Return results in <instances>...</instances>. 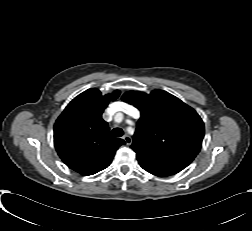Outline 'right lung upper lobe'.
<instances>
[{
    "label": "right lung upper lobe",
    "instance_id": "obj_1",
    "mask_svg": "<svg viewBox=\"0 0 252 231\" xmlns=\"http://www.w3.org/2000/svg\"><path fill=\"white\" fill-rule=\"evenodd\" d=\"M120 91L102 96L98 89H88L75 97L54 125V144L62 161L81 175H93L110 165L122 139L110 136L102 113Z\"/></svg>",
    "mask_w": 252,
    "mask_h": 231
}]
</instances>
